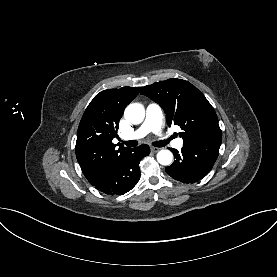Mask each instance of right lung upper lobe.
<instances>
[{
	"instance_id": "1",
	"label": "right lung upper lobe",
	"mask_w": 277,
	"mask_h": 277,
	"mask_svg": "<svg viewBox=\"0 0 277 277\" xmlns=\"http://www.w3.org/2000/svg\"><path fill=\"white\" fill-rule=\"evenodd\" d=\"M141 87L107 89L98 93L86 108L80 121L76 157L86 179L97 182L131 148L112 143L117 137L118 122L125 107L137 96Z\"/></svg>"
}]
</instances>
